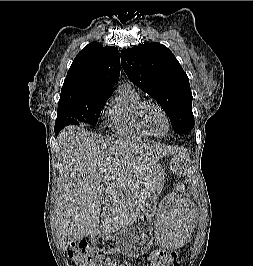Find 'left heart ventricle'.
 Here are the masks:
<instances>
[{"label": "left heart ventricle", "instance_id": "left-heart-ventricle-1", "mask_svg": "<svg viewBox=\"0 0 253 266\" xmlns=\"http://www.w3.org/2000/svg\"><path fill=\"white\" fill-rule=\"evenodd\" d=\"M148 123L152 131L157 135H164L167 131V121L163 114L157 109L150 110L148 114Z\"/></svg>", "mask_w": 253, "mask_h": 266}]
</instances>
